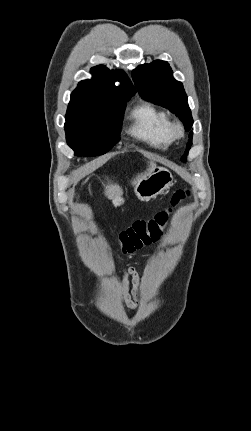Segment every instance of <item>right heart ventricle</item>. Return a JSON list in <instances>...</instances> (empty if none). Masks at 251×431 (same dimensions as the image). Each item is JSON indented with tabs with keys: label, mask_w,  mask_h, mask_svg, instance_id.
Here are the masks:
<instances>
[{
	"label": "right heart ventricle",
	"mask_w": 251,
	"mask_h": 431,
	"mask_svg": "<svg viewBox=\"0 0 251 431\" xmlns=\"http://www.w3.org/2000/svg\"><path fill=\"white\" fill-rule=\"evenodd\" d=\"M130 133L148 145L165 150L173 142L166 112L150 103H142L131 112Z\"/></svg>",
	"instance_id": "obj_1"
}]
</instances>
